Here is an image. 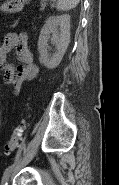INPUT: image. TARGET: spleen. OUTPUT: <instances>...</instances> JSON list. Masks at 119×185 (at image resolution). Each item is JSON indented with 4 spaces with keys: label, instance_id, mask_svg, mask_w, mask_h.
Listing matches in <instances>:
<instances>
[{
    "label": "spleen",
    "instance_id": "3e777b00",
    "mask_svg": "<svg viewBox=\"0 0 119 185\" xmlns=\"http://www.w3.org/2000/svg\"><path fill=\"white\" fill-rule=\"evenodd\" d=\"M80 0H57V9L68 11L77 6Z\"/></svg>",
    "mask_w": 119,
    "mask_h": 185
}]
</instances>
